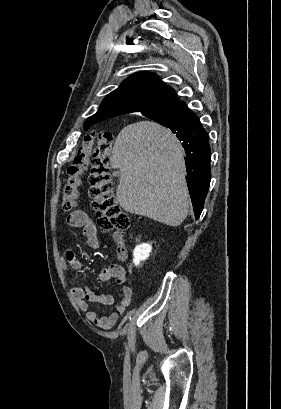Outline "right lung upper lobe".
<instances>
[{
	"mask_svg": "<svg viewBox=\"0 0 281 409\" xmlns=\"http://www.w3.org/2000/svg\"><path fill=\"white\" fill-rule=\"evenodd\" d=\"M178 102L180 100L174 89L155 74L139 72L124 80L118 89L105 97L98 112L86 120L84 128L87 130L98 122L118 115L158 110Z\"/></svg>",
	"mask_w": 281,
	"mask_h": 409,
	"instance_id": "1",
	"label": "right lung upper lobe"
}]
</instances>
